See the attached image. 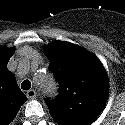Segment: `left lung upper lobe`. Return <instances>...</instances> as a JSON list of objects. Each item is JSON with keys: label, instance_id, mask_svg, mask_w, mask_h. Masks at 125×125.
<instances>
[{"label": "left lung upper lobe", "instance_id": "obj_1", "mask_svg": "<svg viewBox=\"0 0 125 125\" xmlns=\"http://www.w3.org/2000/svg\"><path fill=\"white\" fill-rule=\"evenodd\" d=\"M49 69L59 83L55 100L46 99L58 125H89L103 110L108 98V78L98 58L82 47L64 41L45 46Z\"/></svg>", "mask_w": 125, "mask_h": 125}]
</instances>
